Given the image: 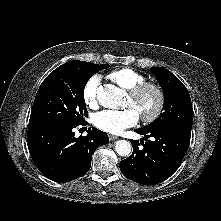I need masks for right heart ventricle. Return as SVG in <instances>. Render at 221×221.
<instances>
[{
    "label": "right heart ventricle",
    "mask_w": 221,
    "mask_h": 221,
    "mask_svg": "<svg viewBox=\"0 0 221 221\" xmlns=\"http://www.w3.org/2000/svg\"><path fill=\"white\" fill-rule=\"evenodd\" d=\"M107 78L128 91L135 86L146 82V77L143 74L131 68H120L114 70L107 75Z\"/></svg>",
    "instance_id": "right-heart-ventricle-1"
}]
</instances>
